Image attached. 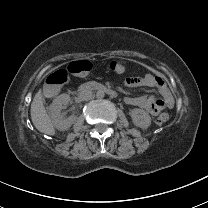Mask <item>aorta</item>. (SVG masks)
<instances>
[{
	"label": "aorta",
	"instance_id": "762f6f07",
	"mask_svg": "<svg viewBox=\"0 0 208 208\" xmlns=\"http://www.w3.org/2000/svg\"><path fill=\"white\" fill-rule=\"evenodd\" d=\"M104 95H105V93L102 90H98L97 93H96V97L97 98H100V99L103 98Z\"/></svg>",
	"mask_w": 208,
	"mask_h": 208
}]
</instances>
